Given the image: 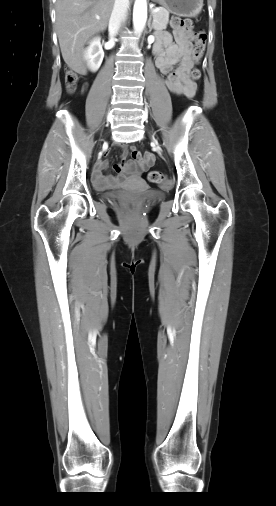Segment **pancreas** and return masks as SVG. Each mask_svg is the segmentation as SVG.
<instances>
[{
  "instance_id": "cf45deb5",
  "label": "pancreas",
  "mask_w": 276,
  "mask_h": 506,
  "mask_svg": "<svg viewBox=\"0 0 276 506\" xmlns=\"http://www.w3.org/2000/svg\"><path fill=\"white\" fill-rule=\"evenodd\" d=\"M168 22L169 12L165 8L160 7L159 11L153 13V26L156 31L166 29Z\"/></svg>"
}]
</instances>
